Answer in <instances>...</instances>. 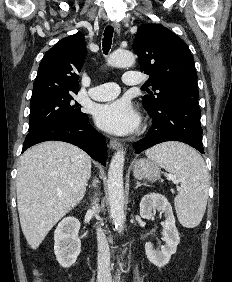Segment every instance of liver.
I'll list each match as a JSON object with an SVG mask.
<instances>
[{"label":"liver","instance_id":"obj_1","mask_svg":"<svg viewBox=\"0 0 232 282\" xmlns=\"http://www.w3.org/2000/svg\"><path fill=\"white\" fill-rule=\"evenodd\" d=\"M90 176L91 158L72 144L48 141L24 152L16 180L17 206L32 249L81 202Z\"/></svg>","mask_w":232,"mask_h":282}]
</instances>
